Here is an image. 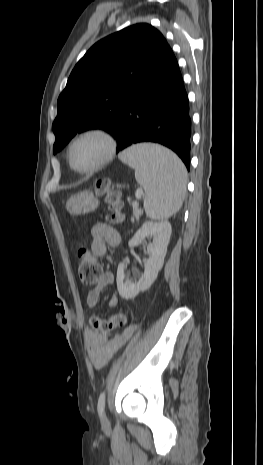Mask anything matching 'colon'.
Here are the masks:
<instances>
[{
    "label": "colon",
    "mask_w": 263,
    "mask_h": 465,
    "mask_svg": "<svg viewBox=\"0 0 263 465\" xmlns=\"http://www.w3.org/2000/svg\"><path fill=\"white\" fill-rule=\"evenodd\" d=\"M98 193L105 196L109 205L111 222H119L122 218L121 209L122 202L120 194L111 188L110 181L102 179L97 182ZM78 276L83 286L89 290H93L98 285L103 274L100 264L97 262L92 253L85 245H82L78 250ZM126 316L122 313L114 314L109 319H101L93 316L90 318L91 328L102 334H108L126 324Z\"/></svg>",
    "instance_id": "colon-1"
}]
</instances>
